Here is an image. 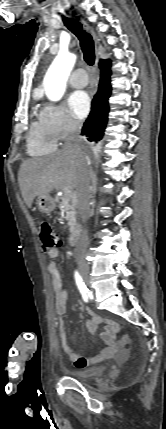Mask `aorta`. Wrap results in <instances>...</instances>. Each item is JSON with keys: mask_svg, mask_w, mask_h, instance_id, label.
Here are the masks:
<instances>
[{"mask_svg": "<svg viewBox=\"0 0 166 429\" xmlns=\"http://www.w3.org/2000/svg\"><path fill=\"white\" fill-rule=\"evenodd\" d=\"M76 55L61 51L48 69L43 84L47 97L59 101L64 95L67 78L73 69Z\"/></svg>", "mask_w": 166, "mask_h": 429, "instance_id": "obj_1", "label": "aorta"}]
</instances>
